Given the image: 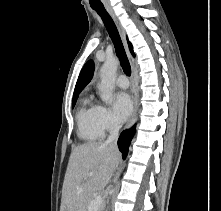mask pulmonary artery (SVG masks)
<instances>
[{
  "label": "pulmonary artery",
  "mask_w": 221,
  "mask_h": 211,
  "mask_svg": "<svg viewBox=\"0 0 221 211\" xmlns=\"http://www.w3.org/2000/svg\"><path fill=\"white\" fill-rule=\"evenodd\" d=\"M116 85L119 88L125 89L129 86V81L126 76L120 75L116 80Z\"/></svg>",
  "instance_id": "obj_1"
}]
</instances>
